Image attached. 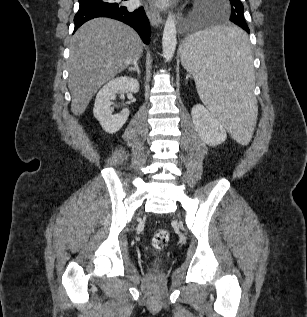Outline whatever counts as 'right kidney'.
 Here are the masks:
<instances>
[{
	"mask_svg": "<svg viewBox=\"0 0 307 317\" xmlns=\"http://www.w3.org/2000/svg\"><path fill=\"white\" fill-rule=\"evenodd\" d=\"M138 91L139 82L127 76L112 79L99 90L96 95L93 113L107 133H116L129 117L127 108H124L119 114H112L111 105L112 100L116 98V94L136 93Z\"/></svg>",
	"mask_w": 307,
	"mask_h": 317,
	"instance_id": "obj_1",
	"label": "right kidney"
}]
</instances>
